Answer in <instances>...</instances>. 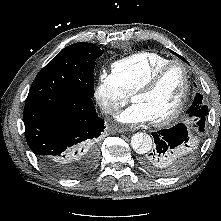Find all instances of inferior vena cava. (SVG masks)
I'll list each match as a JSON object with an SVG mask.
<instances>
[{
	"label": "inferior vena cava",
	"instance_id": "obj_1",
	"mask_svg": "<svg viewBox=\"0 0 221 221\" xmlns=\"http://www.w3.org/2000/svg\"><path fill=\"white\" fill-rule=\"evenodd\" d=\"M103 112L107 113V114H113L117 112V109L113 106L107 105L102 107Z\"/></svg>",
	"mask_w": 221,
	"mask_h": 221
}]
</instances>
